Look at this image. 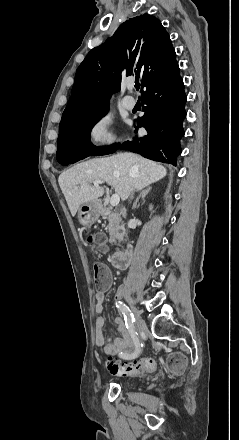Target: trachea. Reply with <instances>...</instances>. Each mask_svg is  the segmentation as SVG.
I'll list each match as a JSON object with an SVG mask.
<instances>
[{"label":"trachea","instance_id":"3493384b","mask_svg":"<svg viewBox=\"0 0 239 440\" xmlns=\"http://www.w3.org/2000/svg\"><path fill=\"white\" fill-rule=\"evenodd\" d=\"M135 88H136V90H139L140 85L139 84H135Z\"/></svg>","mask_w":239,"mask_h":440}]
</instances>
